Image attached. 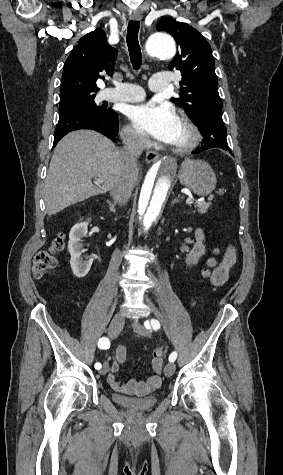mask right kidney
<instances>
[{
	"mask_svg": "<svg viewBox=\"0 0 283 475\" xmlns=\"http://www.w3.org/2000/svg\"><path fill=\"white\" fill-rule=\"evenodd\" d=\"M87 222H80V224H75L70 230L68 249L71 255L70 265L74 275L77 277H84L87 275L92 263L93 257L89 259H84L82 257L80 249H82L83 243H81L83 236L87 234Z\"/></svg>",
	"mask_w": 283,
	"mask_h": 475,
	"instance_id": "obj_1",
	"label": "right kidney"
}]
</instances>
